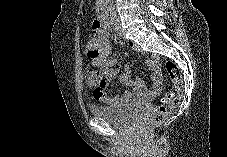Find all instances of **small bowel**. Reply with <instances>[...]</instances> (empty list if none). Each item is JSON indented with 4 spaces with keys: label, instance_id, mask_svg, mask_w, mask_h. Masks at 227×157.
I'll return each instance as SVG.
<instances>
[{
    "label": "small bowel",
    "instance_id": "small-bowel-1",
    "mask_svg": "<svg viewBox=\"0 0 227 157\" xmlns=\"http://www.w3.org/2000/svg\"><path fill=\"white\" fill-rule=\"evenodd\" d=\"M133 48L137 45L131 43ZM109 42L105 34L101 33L92 38L86 46V51L91 59L94 67H96L103 77H101V84L99 87L94 88L93 97L95 100L108 104L112 107H120L132 103L134 101H147L156 97L161 87V76L156 67L157 58L153 56L148 60V65L151 66V79L153 81L152 88L146 91L144 83L141 79H133L128 70L125 73L118 75L114 69L115 60L109 58ZM118 78L120 83L124 86L132 88V92H124L118 95H109L107 87L109 83Z\"/></svg>",
    "mask_w": 227,
    "mask_h": 157
}]
</instances>
